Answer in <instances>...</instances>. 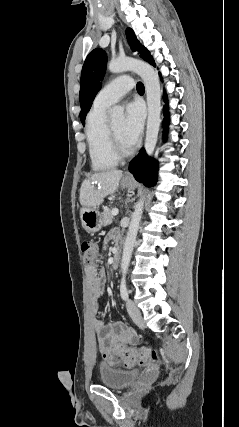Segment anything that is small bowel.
<instances>
[{
    "label": "small bowel",
    "mask_w": 239,
    "mask_h": 427,
    "mask_svg": "<svg viewBox=\"0 0 239 427\" xmlns=\"http://www.w3.org/2000/svg\"><path fill=\"white\" fill-rule=\"evenodd\" d=\"M109 240L118 241L119 237L113 232ZM87 287L91 296L89 305L90 313L94 316V329L96 332L97 343L104 362L110 366L117 363L114 348L120 345H134L137 343L136 332L123 322L106 323L96 315L99 311V297L102 293L105 276L98 270L94 263L88 264L85 268Z\"/></svg>",
    "instance_id": "c3829d8e"
}]
</instances>
